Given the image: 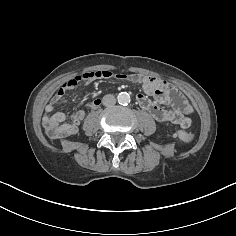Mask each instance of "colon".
<instances>
[{
    "instance_id": "1",
    "label": "colon",
    "mask_w": 236,
    "mask_h": 236,
    "mask_svg": "<svg viewBox=\"0 0 236 236\" xmlns=\"http://www.w3.org/2000/svg\"><path fill=\"white\" fill-rule=\"evenodd\" d=\"M97 76L104 77V78H110V77H112V73L110 71L104 70V71L98 72ZM124 76L129 80L134 79L133 74L124 75ZM178 136L183 142H190L194 138V135L192 133L185 132V131H180L178 133Z\"/></svg>"
}]
</instances>
